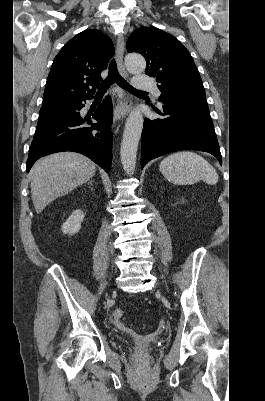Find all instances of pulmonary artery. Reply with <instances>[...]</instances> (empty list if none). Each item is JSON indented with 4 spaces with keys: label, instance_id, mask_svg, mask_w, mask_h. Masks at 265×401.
Instances as JSON below:
<instances>
[{
    "label": "pulmonary artery",
    "instance_id": "obj_1",
    "mask_svg": "<svg viewBox=\"0 0 265 401\" xmlns=\"http://www.w3.org/2000/svg\"><path fill=\"white\" fill-rule=\"evenodd\" d=\"M135 88L138 90H154L156 88V83L151 81L150 75H138L136 78ZM156 96H160V90L155 89Z\"/></svg>",
    "mask_w": 265,
    "mask_h": 401
}]
</instances>
